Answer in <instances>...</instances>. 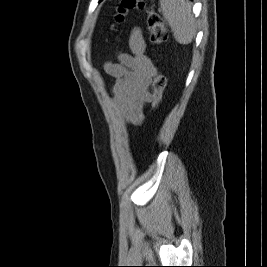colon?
Here are the masks:
<instances>
[{
	"label": "colon",
	"instance_id": "1",
	"mask_svg": "<svg viewBox=\"0 0 267 267\" xmlns=\"http://www.w3.org/2000/svg\"><path fill=\"white\" fill-rule=\"evenodd\" d=\"M135 8L146 10L147 28L151 42L155 45L163 44L167 40V25L157 12L147 7L144 0H121L116 9L115 21L123 22L128 11ZM165 86L166 77L162 73H158L152 82V103L155 108H158L162 102Z\"/></svg>",
	"mask_w": 267,
	"mask_h": 267
}]
</instances>
